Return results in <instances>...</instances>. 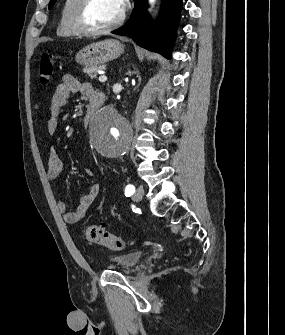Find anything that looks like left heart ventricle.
I'll return each mask as SVG.
<instances>
[{"mask_svg": "<svg viewBox=\"0 0 285 335\" xmlns=\"http://www.w3.org/2000/svg\"><path fill=\"white\" fill-rule=\"evenodd\" d=\"M121 1H92L87 12V21L94 28L111 24L118 16Z\"/></svg>", "mask_w": 285, "mask_h": 335, "instance_id": "b2bd125f", "label": "left heart ventricle"}]
</instances>
